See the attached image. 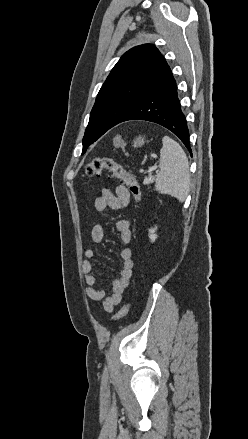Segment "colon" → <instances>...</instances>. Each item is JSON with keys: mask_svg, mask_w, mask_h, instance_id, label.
<instances>
[{"mask_svg": "<svg viewBox=\"0 0 248 439\" xmlns=\"http://www.w3.org/2000/svg\"><path fill=\"white\" fill-rule=\"evenodd\" d=\"M103 172H107L109 177L119 180L127 187L134 199L140 201L141 189L138 180L117 161L111 158H94L85 167V174L89 177L100 176ZM128 309L129 303L126 302L113 317L112 321H119L127 314Z\"/></svg>", "mask_w": 248, "mask_h": 439, "instance_id": "1", "label": "colon"}]
</instances>
